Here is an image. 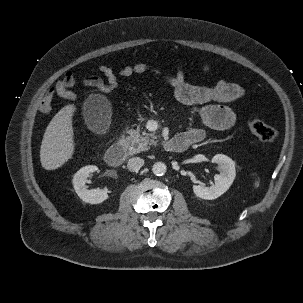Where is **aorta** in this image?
Wrapping results in <instances>:
<instances>
[{
	"instance_id": "aorta-1",
	"label": "aorta",
	"mask_w": 303,
	"mask_h": 303,
	"mask_svg": "<svg viewBox=\"0 0 303 303\" xmlns=\"http://www.w3.org/2000/svg\"><path fill=\"white\" fill-rule=\"evenodd\" d=\"M152 171L156 176H163L167 171V166L163 162H156L152 166Z\"/></svg>"
}]
</instances>
